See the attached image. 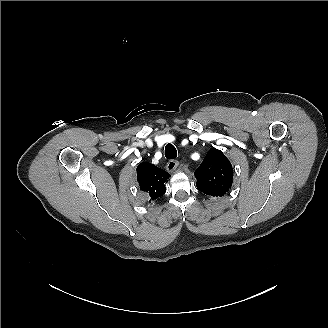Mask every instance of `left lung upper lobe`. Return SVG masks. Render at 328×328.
<instances>
[{
    "label": "left lung upper lobe",
    "instance_id": "left-lung-upper-lobe-1",
    "mask_svg": "<svg viewBox=\"0 0 328 328\" xmlns=\"http://www.w3.org/2000/svg\"><path fill=\"white\" fill-rule=\"evenodd\" d=\"M197 188L206 195L222 197L231 187L233 169L222 151L212 148L195 171Z\"/></svg>",
    "mask_w": 328,
    "mask_h": 328
}]
</instances>
